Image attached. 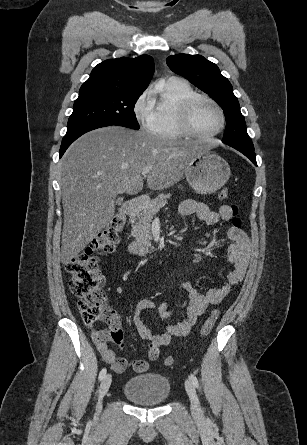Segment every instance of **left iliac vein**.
<instances>
[{"instance_id": "4c4485c4", "label": "left iliac vein", "mask_w": 307, "mask_h": 445, "mask_svg": "<svg viewBox=\"0 0 307 445\" xmlns=\"http://www.w3.org/2000/svg\"><path fill=\"white\" fill-rule=\"evenodd\" d=\"M185 389L189 396L191 402V412L195 419L201 420L203 418V413L200 407V402L198 400L195 387L190 380L185 381Z\"/></svg>"}]
</instances>
